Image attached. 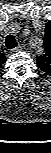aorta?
<instances>
[{
    "mask_svg": "<svg viewBox=\"0 0 51 153\" xmlns=\"http://www.w3.org/2000/svg\"><path fill=\"white\" fill-rule=\"evenodd\" d=\"M42 41H39L38 43L35 44V50L36 51H41L42 50Z\"/></svg>",
    "mask_w": 51,
    "mask_h": 153,
    "instance_id": "1",
    "label": "aorta"
}]
</instances>
